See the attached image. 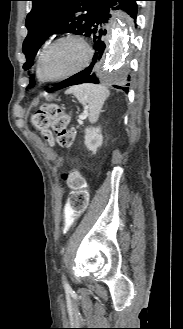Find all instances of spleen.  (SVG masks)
Instances as JSON below:
<instances>
[{
	"label": "spleen",
	"instance_id": "1",
	"mask_svg": "<svg viewBox=\"0 0 183 329\" xmlns=\"http://www.w3.org/2000/svg\"><path fill=\"white\" fill-rule=\"evenodd\" d=\"M66 94H73L85 109L88 110L89 121L95 123L110 92L106 87L101 85L82 84L69 88Z\"/></svg>",
	"mask_w": 183,
	"mask_h": 329
}]
</instances>
